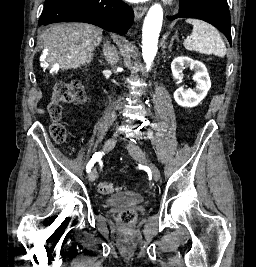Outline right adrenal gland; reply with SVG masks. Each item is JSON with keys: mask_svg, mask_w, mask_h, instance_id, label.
Wrapping results in <instances>:
<instances>
[{"mask_svg": "<svg viewBox=\"0 0 256 267\" xmlns=\"http://www.w3.org/2000/svg\"><path fill=\"white\" fill-rule=\"evenodd\" d=\"M107 44H108V42H107ZM108 46H109V48H110V44H108Z\"/></svg>", "mask_w": 256, "mask_h": 267, "instance_id": "right-adrenal-gland-1", "label": "right adrenal gland"}]
</instances>
